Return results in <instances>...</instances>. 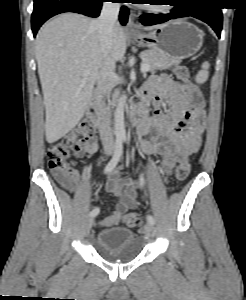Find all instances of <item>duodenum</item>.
<instances>
[{"label": "duodenum", "instance_id": "1", "mask_svg": "<svg viewBox=\"0 0 246 300\" xmlns=\"http://www.w3.org/2000/svg\"><path fill=\"white\" fill-rule=\"evenodd\" d=\"M101 98V92L98 90L95 91L87 104L86 113L94 126L100 131H103L106 126V111L102 105ZM147 113L148 106L144 101H137L130 112V125L138 128L145 121Z\"/></svg>", "mask_w": 246, "mask_h": 300}]
</instances>
